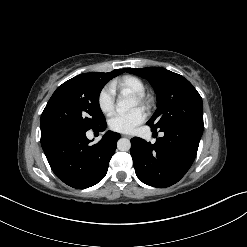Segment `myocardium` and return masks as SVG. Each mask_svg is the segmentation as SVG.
Wrapping results in <instances>:
<instances>
[{
  "instance_id": "obj_1",
  "label": "myocardium",
  "mask_w": 247,
  "mask_h": 247,
  "mask_svg": "<svg viewBox=\"0 0 247 247\" xmlns=\"http://www.w3.org/2000/svg\"><path fill=\"white\" fill-rule=\"evenodd\" d=\"M135 100L137 101V103L145 108H148L150 105V98L147 94L143 93V94H135L134 95Z\"/></svg>"
}]
</instances>
